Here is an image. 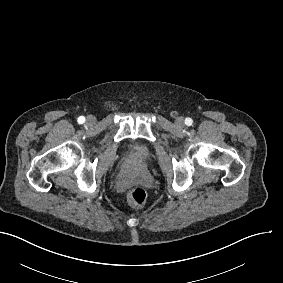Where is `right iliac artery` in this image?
Returning a JSON list of instances; mask_svg holds the SVG:
<instances>
[{
  "instance_id": "obj_1",
  "label": "right iliac artery",
  "mask_w": 283,
  "mask_h": 283,
  "mask_svg": "<svg viewBox=\"0 0 283 283\" xmlns=\"http://www.w3.org/2000/svg\"><path fill=\"white\" fill-rule=\"evenodd\" d=\"M77 121H78L79 124H83L85 122V117L80 116Z\"/></svg>"
}]
</instances>
